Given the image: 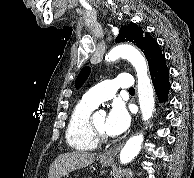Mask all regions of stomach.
I'll return each instance as SVG.
<instances>
[{"label":"stomach","instance_id":"obj_1","mask_svg":"<svg viewBox=\"0 0 194 178\" xmlns=\"http://www.w3.org/2000/svg\"><path fill=\"white\" fill-rule=\"evenodd\" d=\"M113 162V159L110 158V159H103V158H100V163L103 165V166H108V165H111Z\"/></svg>","mask_w":194,"mask_h":178}]
</instances>
